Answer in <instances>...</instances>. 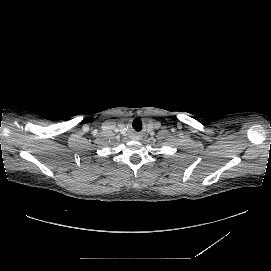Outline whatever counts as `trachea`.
Returning <instances> with one entry per match:
<instances>
[{"label":"trachea","instance_id":"trachea-1","mask_svg":"<svg viewBox=\"0 0 271 271\" xmlns=\"http://www.w3.org/2000/svg\"><path fill=\"white\" fill-rule=\"evenodd\" d=\"M131 128L135 132H141L144 129L143 121L140 118H135L131 123Z\"/></svg>","mask_w":271,"mask_h":271}]
</instances>
